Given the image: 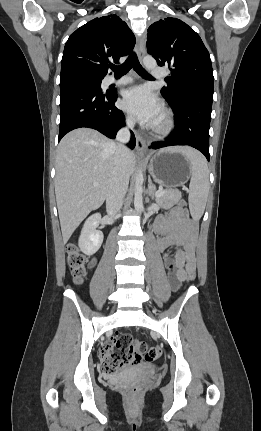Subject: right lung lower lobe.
<instances>
[{"instance_id": "obj_1", "label": "right lung lower lobe", "mask_w": 261, "mask_h": 431, "mask_svg": "<svg viewBox=\"0 0 261 431\" xmlns=\"http://www.w3.org/2000/svg\"><path fill=\"white\" fill-rule=\"evenodd\" d=\"M117 91L102 92L89 81L67 80L60 82V132L59 139L69 131L88 127L109 138H115L117 131L125 126V117L114 103ZM135 136L131 132L128 144L134 148Z\"/></svg>"}]
</instances>
